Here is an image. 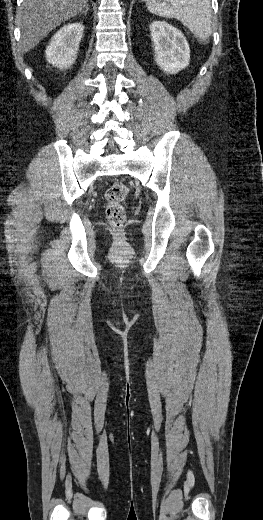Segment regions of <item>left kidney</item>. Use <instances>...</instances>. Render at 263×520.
Listing matches in <instances>:
<instances>
[{
    "label": "left kidney",
    "mask_w": 263,
    "mask_h": 520,
    "mask_svg": "<svg viewBox=\"0 0 263 520\" xmlns=\"http://www.w3.org/2000/svg\"><path fill=\"white\" fill-rule=\"evenodd\" d=\"M150 31L155 61L165 73L176 74L189 65L190 49L181 31L164 21H154Z\"/></svg>",
    "instance_id": "obj_1"
}]
</instances>
